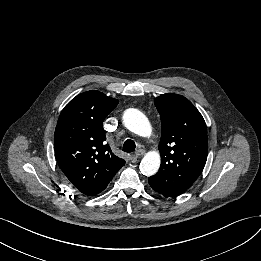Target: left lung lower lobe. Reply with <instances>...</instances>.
<instances>
[{"mask_svg":"<svg viewBox=\"0 0 261 261\" xmlns=\"http://www.w3.org/2000/svg\"><path fill=\"white\" fill-rule=\"evenodd\" d=\"M148 182H149L151 188H152L155 192H157V193H159V194H161V195H164V196H166V197H173L172 195H170L169 193H167L166 191H164V190H163L159 185H157L155 182H153V181H151V180H149V179H148Z\"/></svg>","mask_w":261,"mask_h":261,"instance_id":"1","label":"left lung lower lobe"}]
</instances>
